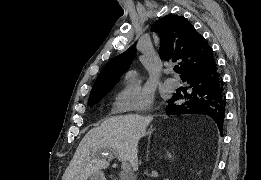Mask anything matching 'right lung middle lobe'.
Instances as JSON below:
<instances>
[{
    "label": "right lung middle lobe",
    "instance_id": "dd1d6c3e",
    "mask_svg": "<svg viewBox=\"0 0 261 180\" xmlns=\"http://www.w3.org/2000/svg\"><path fill=\"white\" fill-rule=\"evenodd\" d=\"M103 97H104V95L90 98L89 101H88V105L93 106L94 104L99 102Z\"/></svg>",
    "mask_w": 261,
    "mask_h": 180
}]
</instances>
